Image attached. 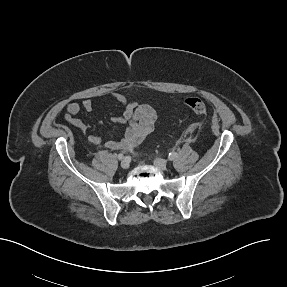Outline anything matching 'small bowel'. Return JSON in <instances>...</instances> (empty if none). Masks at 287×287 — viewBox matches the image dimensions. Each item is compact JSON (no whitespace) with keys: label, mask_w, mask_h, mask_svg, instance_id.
<instances>
[{"label":"small bowel","mask_w":287,"mask_h":287,"mask_svg":"<svg viewBox=\"0 0 287 287\" xmlns=\"http://www.w3.org/2000/svg\"><path fill=\"white\" fill-rule=\"evenodd\" d=\"M111 96L121 106V113L114 118V122L127 124L126 132L120 139L109 140H104L99 135H89L88 142L95 146L102 145L110 150L127 151L151 134L157 119L156 111L149 104L130 101L126 95L113 93ZM93 108L91 99H85L81 104L71 102L66 107L65 120L80 133L85 134L87 126L78 116L82 111L92 112Z\"/></svg>","instance_id":"small-bowel-1"}]
</instances>
